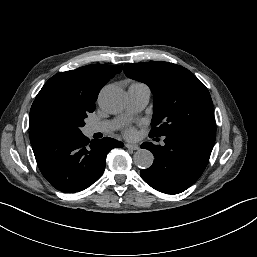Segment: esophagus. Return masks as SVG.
Instances as JSON below:
<instances>
[{"label":"esophagus","instance_id":"obj_1","mask_svg":"<svg viewBox=\"0 0 257 257\" xmlns=\"http://www.w3.org/2000/svg\"><path fill=\"white\" fill-rule=\"evenodd\" d=\"M125 147L128 149H132V150H138L139 146L137 144H130V143H126Z\"/></svg>","mask_w":257,"mask_h":257}]
</instances>
